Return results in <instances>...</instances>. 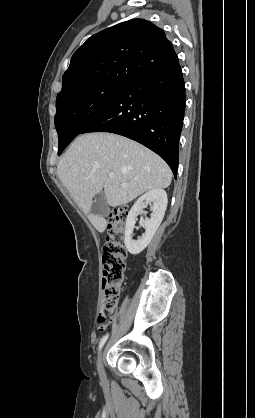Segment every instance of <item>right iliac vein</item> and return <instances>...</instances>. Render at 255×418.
Wrapping results in <instances>:
<instances>
[{
    "mask_svg": "<svg viewBox=\"0 0 255 418\" xmlns=\"http://www.w3.org/2000/svg\"><path fill=\"white\" fill-rule=\"evenodd\" d=\"M102 355L103 353L101 352L99 357H98V369L101 375H103V366H102Z\"/></svg>",
    "mask_w": 255,
    "mask_h": 418,
    "instance_id": "1",
    "label": "right iliac vein"
}]
</instances>
